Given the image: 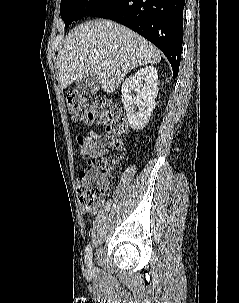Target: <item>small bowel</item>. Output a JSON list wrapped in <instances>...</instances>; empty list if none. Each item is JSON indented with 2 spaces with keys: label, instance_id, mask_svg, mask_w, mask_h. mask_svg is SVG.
I'll return each mask as SVG.
<instances>
[{
  "label": "small bowel",
  "instance_id": "1",
  "mask_svg": "<svg viewBox=\"0 0 239 303\" xmlns=\"http://www.w3.org/2000/svg\"><path fill=\"white\" fill-rule=\"evenodd\" d=\"M76 142L79 146V153L82 157L91 159L105 156L108 153L107 142L100 134L89 132L79 133L76 136ZM80 211L83 214L93 215L96 213L95 206H85L80 204Z\"/></svg>",
  "mask_w": 239,
  "mask_h": 303
}]
</instances>
